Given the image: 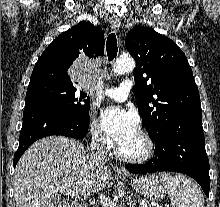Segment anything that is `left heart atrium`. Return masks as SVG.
<instances>
[{
	"mask_svg": "<svg viewBox=\"0 0 220 207\" xmlns=\"http://www.w3.org/2000/svg\"><path fill=\"white\" fill-rule=\"evenodd\" d=\"M101 123L106 133L119 146L138 132L135 115L120 107H108L101 112Z\"/></svg>",
	"mask_w": 220,
	"mask_h": 207,
	"instance_id": "39dd6f15",
	"label": "left heart atrium"
}]
</instances>
